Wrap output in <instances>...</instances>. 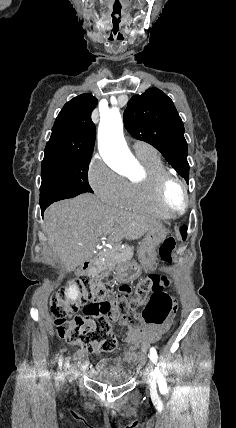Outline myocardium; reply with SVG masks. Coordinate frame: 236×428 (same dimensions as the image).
<instances>
[{
	"mask_svg": "<svg viewBox=\"0 0 236 428\" xmlns=\"http://www.w3.org/2000/svg\"><path fill=\"white\" fill-rule=\"evenodd\" d=\"M171 185H177L183 195V201L180 206L172 204L168 199V189ZM153 193L158 206L173 215L185 212L190 203V194L186 183L169 173L158 176L153 182Z\"/></svg>",
	"mask_w": 236,
	"mask_h": 428,
	"instance_id": "myocardium-1",
	"label": "myocardium"
}]
</instances>
